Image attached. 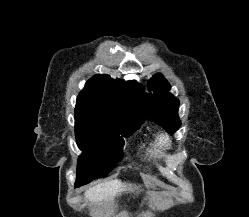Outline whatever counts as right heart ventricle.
I'll return each instance as SVG.
<instances>
[{
	"mask_svg": "<svg viewBox=\"0 0 249 217\" xmlns=\"http://www.w3.org/2000/svg\"><path fill=\"white\" fill-rule=\"evenodd\" d=\"M171 143L169 138L160 134L156 136L155 140L150 144L147 153L153 157H160L163 152L170 149Z\"/></svg>",
	"mask_w": 249,
	"mask_h": 217,
	"instance_id": "right-heart-ventricle-1",
	"label": "right heart ventricle"
}]
</instances>
